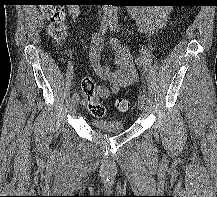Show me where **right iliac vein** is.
<instances>
[{
    "mask_svg": "<svg viewBox=\"0 0 217 197\" xmlns=\"http://www.w3.org/2000/svg\"><path fill=\"white\" fill-rule=\"evenodd\" d=\"M77 108H78V100L73 101L72 104H71V111H72L73 114L76 113Z\"/></svg>",
    "mask_w": 217,
    "mask_h": 197,
    "instance_id": "obj_1",
    "label": "right iliac vein"
}]
</instances>
